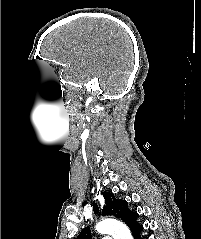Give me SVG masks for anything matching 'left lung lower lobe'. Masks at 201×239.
<instances>
[{
  "instance_id": "0a47b994",
  "label": "left lung lower lobe",
  "mask_w": 201,
  "mask_h": 239,
  "mask_svg": "<svg viewBox=\"0 0 201 239\" xmlns=\"http://www.w3.org/2000/svg\"><path fill=\"white\" fill-rule=\"evenodd\" d=\"M143 230V226L142 225H139L137 224L136 226H134L132 229H131V232L134 236V239H142L140 237V232Z\"/></svg>"
}]
</instances>
